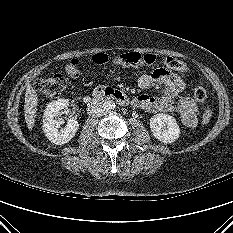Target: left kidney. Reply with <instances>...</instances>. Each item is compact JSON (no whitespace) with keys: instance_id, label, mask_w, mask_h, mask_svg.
<instances>
[{"instance_id":"5707ae66","label":"left kidney","mask_w":233,"mask_h":233,"mask_svg":"<svg viewBox=\"0 0 233 233\" xmlns=\"http://www.w3.org/2000/svg\"><path fill=\"white\" fill-rule=\"evenodd\" d=\"M153 136L163 143H173L180 136V128L174 117L168 114H156L150 118Z\"/></svg>"}]
</instances>
